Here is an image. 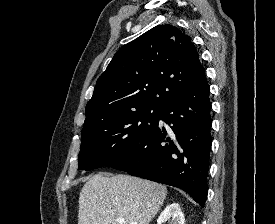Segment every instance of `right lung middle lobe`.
Here are the masks:
<instances>
[{"label":"right lung middle lobe","mask_w":275,"mask_h":224,"mask_svg":"<svg viewBox=\"0 0 275 224\" xmlns=\"http://www.w3.org/2000/svg\"><path fill=\"white\" fill-rule=\"evenodd\" d=\"M161 113V109H140L82 129L79 169L91 170L112 164L154 131Z\"/></svg>","instance_id":"1"}]
</instances>
